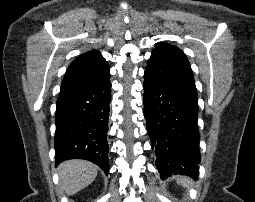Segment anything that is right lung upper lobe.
<instances>
[{
	"label": "right lung upper lobe",
	"mask_w": 255,
	"mask_h": 202,
	"mask_svg": "<svg viewBox=\"0 0 255 202\" xmlns=\"http://www.w3.org/2000/svg\"><path fill=\"white\" fill-rule=\"evenodd\" d=\"M110 78L108 63L98 51L78 56L68 67L61 91L84 88L99 84Z\"/></svg>",
	"instance_id": "right-lung-upper-lobe-1"
}]
</instances>
